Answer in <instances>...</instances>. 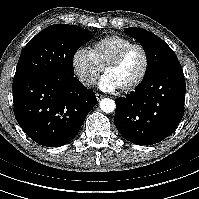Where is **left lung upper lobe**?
I'll list each match as a JSON object with an SVG mask.
<instances>
[{"label": "left lung upper lobe", "instance_id": "left-lung-upper-lobe-1", "mask_svg": "<svg viewBox=\"0 0 199 199\" xmlns=\"http://www.w3.org/2000/svg\"><path fill=\"white\" fill-rule=\"evenodd\" d=\"M125 30L128 35L139 41L146 52L148 65L143 80L149 78L163 67L178 62L174 51L155 34L135 27L126 28Z\"/></svg>", "mask_w": 199, "mask_h": 199}]
</instances>
